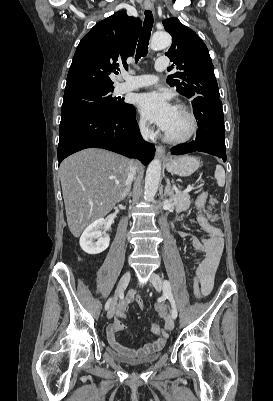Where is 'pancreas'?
<instances>
[{
	"mask_svg": "<svg viewBox=\"0 0 273 401\" xmlns=\"http://www.w3.org/2000/svg\"><path fill=\"white\" fill-rule=\"evenodd\" d=\"M172 198H174L176 213H181V211H187V209H189L190 194H188V192H176Z\"/></svg>",
	"mask_w": 273,
	"mask_h": 401,
	"instance_id": "pancreas-1",
	"label": "pancreas"
}]
</instances>
